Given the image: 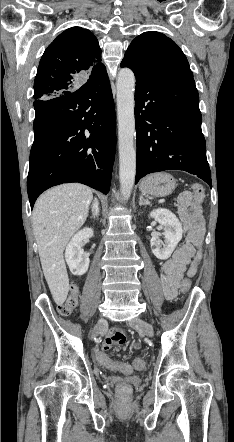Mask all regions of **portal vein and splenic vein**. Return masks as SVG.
<instances>
[{
    "mask_svg": "<svg viewBox=\"0 0 234 442\" xmlns=\"http://www.w3.org/2000/svg\"><path fill=\"white\" fill-rule=\"evenodd\" d=\"M159 202H160V203L164 202V199L160 200Z\"/></svg>",
    "mask_w": 234,
    "mask_h": 442,
    "instance_id": "obj_1",
    "label": "portal vein and splenic vein"
}]
</instances>
